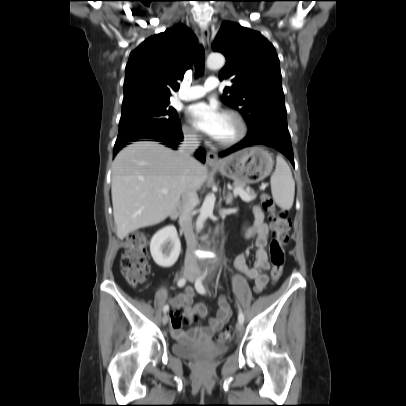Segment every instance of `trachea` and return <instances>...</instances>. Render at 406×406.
<instances>
[{
  "label": "trachea",
  "mask_w": 406,
  "mask_h": 406,
  "mask_svg": "<svg viewBox=\"0 0 406 406\" xmlns=\"http://www.w3.org/2000/svg\"><path fill=\"white\" fill-rule=\"evenodd\" d=\"M204 62H205V54L203 46H199L197 48L195 59H194V66H195V76L199 77L203 75L204 72Z\"/></svg>",
  "instance_id": "1"
}]
</instances>
